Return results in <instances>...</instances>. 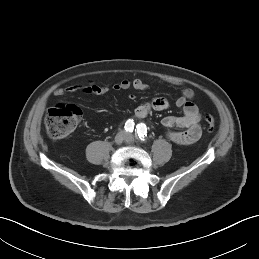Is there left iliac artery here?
<instances>
[{
    "mask_svg": "<svg viewBox=\"0 0 259 259\" xmlns=\"http://www.w3.org/2000/svg\"><path fill=\"white\" fill-rule=\"evenodd\" d=\"M137 135L139 137V139L141 141H145L146 140V136H147V127L144 123L138 124L137 125Z\"/></svg>",
    "mask_w": 259,
    "mask_h": 259,
    "instance_id": "1",
    "label": "left iliac artery"
}]
</instances>
